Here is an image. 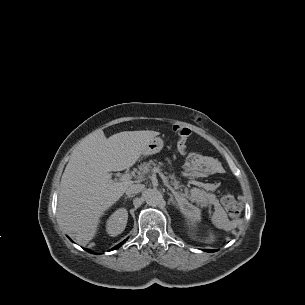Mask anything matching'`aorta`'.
Masks as SVG:
<instances>
[{
  "label": "aorta",
  "instance_id": "obj_1",
  "mask_svg": "<svg viewBox=\"0 0 305 305\" xmlns=\"http://www.w3.org/2000/svg\"><path fill=\"white\" fill-rule=\"evenodd\" d=\"M145 201L150 206H157L162 201V194L156 189H148L144 193Z\"/></svg>",
  "mask_w": 305,
  "mask_h": 305
}]
</instances>
